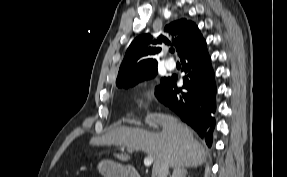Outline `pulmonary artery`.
Returning a JSON list of instances; mask_svg holds the SVG:
<instances>
[{"mask_svg":"<svg viewBox=\"0 0 287 177\" xmlns=\"http://www.w3.org/2000/svg\"><path fill=\"white\" fill-rule=\"evenodd\" d=\"M165 66L168 70H174L176 67V63L173 61V59H169L166 63Z\"/></svg>","mask_w":287,"mask_h":177,"instance_id":"1","label":"pulmonary artery"}]
</instances>
